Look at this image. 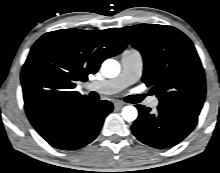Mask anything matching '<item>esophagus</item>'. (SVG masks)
<instances>
[{
	"label": "esophagus",
	"mask_w": 220,
	"mask_h": 173,
	"mask_svg": "<svg viewBox=\"0 0 220 173\" xmlns=\"http://www.w3.org/2000/svg\"><path fill=\"white\" fill-rule=\"evenodd\" d=\"M126 103L125 102H123V101H121V100H116L115 102H114V106H115V108H117V109H120L122 106H124Z\"/></svg>",
	"instance_id": "1"
}]
</instances>
